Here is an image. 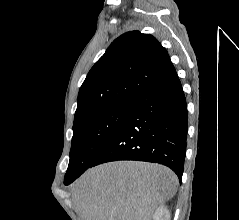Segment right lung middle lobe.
<instances>
[{
	"instance_id": "dd1d6c3e",
	"label": "right lung middle lobe",
	"mask_w": 239,
	"mask_h": 220,
	"mask_svg": "<svg viewBox=\"0 0 239 220\" xmlns=\"http://www.w3.org/2000/svg\"><path fill=\"white\" fill-rule=\"evenodd\" d=\"M129 108L130 104H120L92 112L74 121L65 185L74 181L91 166L123 122Z\"/></svg>"
}]
</instances>
